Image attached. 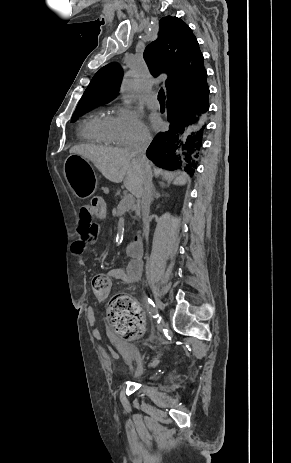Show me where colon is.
Segmentation results:
<instances>
[{"instance_id": "1", "label": "colon", "mask_w": 291, "mask_h": 463, "mask_svg": "<svg viewBox=\"0 0 291 463\" xmlns=\"http://www.w3.org/2000/svg\"><path fill=\"white\" fill-rule=\"evenodd\" d=\"M91 206L97 215H104L106 202L100 197L92 200ZM92 291L98 300H106L111 295L112 282L106 275H97L92 279ZM109 323L115 333L125 338L140 335L143 330V315L139 304L131 297L118 295L110 299L108 305Z\"/></svg>"}]
</instances>
